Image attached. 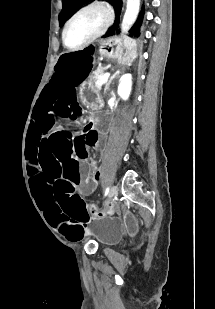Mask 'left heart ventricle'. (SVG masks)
I'll return each mask as SVG.
<instances>
[{"label": "left heart ventricle", "instance_id": "b2bd125f", "mask_svg": "<svg viewBox=\"0 0 215 309\" xmlns=\"http://www.w3.org/2000/svg\"><path fill=\"white\" fill-rule=\"evenodd\" d=\"M93 27V18L85 16L79 18L69 29L67 40L69 44L81 42L91 31Z\"/></svg>", "mask_w": 215, "mask_h": 309}]
</instances>
